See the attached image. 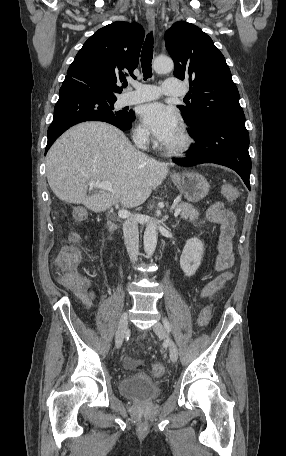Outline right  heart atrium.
I'll return each instance as SVG.
<instances>
[{
    "mask_svg": "<svg viewBox=\"0 0 286 456\" xmlns=\"http://www.w3.org/2000/svg\"><path fill=\"white\" fill-rule=\"evenodd\" d=\"M134 139L139 144H148L150 142V134L143 125L139 124L135 128Z\"/></svg>",
    "mask_w": 286,
    "mask_h": 456,
    "instance_id": "d8ad5b80",
    "label": "right heart atrium"
}]
</instances>
